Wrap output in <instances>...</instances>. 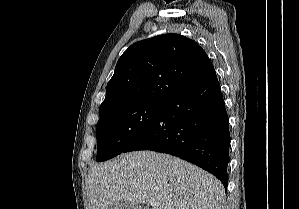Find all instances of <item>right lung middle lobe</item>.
Returning <instances> with one entry per match:
<instances>
[{"mask_svg": "<svg viewBox=\"0 0 299 209\" xmlns=\"http://www.w3.org/2000/svg\"><path fill=\"white\" fill-rule=\"evenodd\" d=\"M164 102H136L100 113L96 126L98 162L122 153L153 122Z\"/></svg>", "mask_w": 299, "mask_h": 209, "instance_id": "1", "label": "right lung middle lobe"}]
</instances>
